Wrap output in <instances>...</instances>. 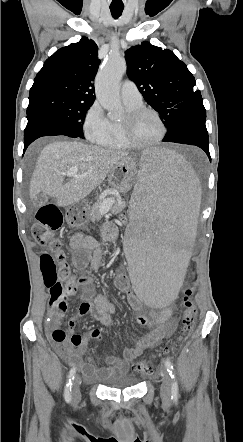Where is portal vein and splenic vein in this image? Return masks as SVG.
Wrapping results in <instances>:
<instances>
[{
    "label": "portal vein and splenic vein",
    "instance_id": "portal-vein-and-splenic-vein-1",
    "mask_svg": "<svg viewBox=\"0 0 243 442\" xmlns=\"http://www.w3.org/2000/svg\"><path fill=\"white\" fill-rule=\"evenodd\" d=\"M65 176L67 177H78V168L77 167H71L66 173H64ZM112 203L111 201H106L102 204V206L100 207V212L102 214H106L109 209L111 208Z\"/></svg>",
    "mask_w": 243,
    "mask_h": 442
}]
</instances>
